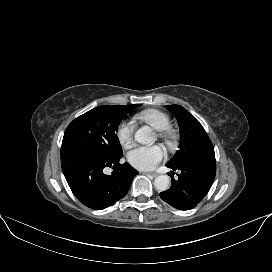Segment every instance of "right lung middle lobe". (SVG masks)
<instances>
[{"label": "right lung middle lobe", "instance_id": "dd1d6c3e", "mask_svg": "<svg viewBox=\"0 0 272 272\" xmlns=\"http://www.w3.org/2000/svg\"><path fill=\"white\" fill-rule=\"evenodd\" d=\"M141 104L96 107L73 120L67 127L61 148H87L105 157L121 156L116 131L121 120Z\"/></svg>", "mask_w": 272, "mask_h": 272}]
</instances>
